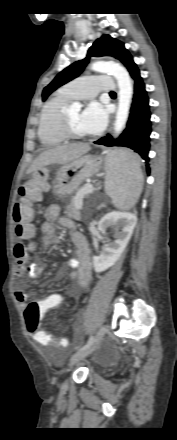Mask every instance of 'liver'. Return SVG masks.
I'll list each match as a JSON object with an SVG mask.
<instances>
[{"label": "liver", "instance_id": "obj_1", "mask_svg": "<svg viewBox=\"0 0 177 440\" xmlns=\"http://www.w3.org/2000/svg\"><path fill=\"white\" fill-rule=\"evenodd\" d=\"M91 149L89 144L76 143L70 145L59 146L48 149L41 153L33 162V164L27 170V174H30L37 169L51 165V164H66L74 161ZM121 165V160L114 161V167L118 168Z\"/></svg>", "mask_w": 177, "mask_h": 440}]
</instances>
